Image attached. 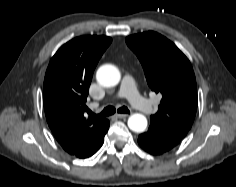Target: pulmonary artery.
I'll list each match as a JSON object with an SVG mask.
<instances>
[{
    "label": "pulmonary artery",
    "mask_w": 236,
    "mask_h": 187,
    "mask_svg": "<svg viewBox=\"0 0 236 187\" xmlns=\"http://www.w3.org/2000/svg\"><path fill=\"white\" fill-rule=\"evenodd\" d=\"M119 96L126 98L134 108L141 112L146 114H151L154 112V106L140 96L136 88L134 78L131 74H126L124 76Z\"/></svg>",
    "instance_id": "1"
}]
</instances>
